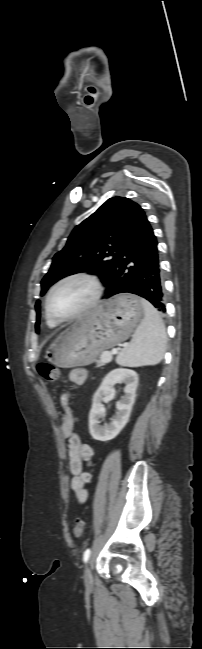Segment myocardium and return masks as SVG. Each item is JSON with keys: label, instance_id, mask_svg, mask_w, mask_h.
Returning a JSON list of instances; mask_svg holds the SVG:
<instances>
[{"label": "myocardium", "instance_id": "f54148a6", "mask_svg": "<svg viewBox=\"0 0 202 649\" xmlns=\"http://www.w3.org/2000/svg\"><path fill=\"white\" fill-rule=\"evenodd\" d=\"M73 279H83L90 283V285L93 288V295L89 302L84 305L80 310H78L76 313L72 314L71 316L65 317V318H60L56 315L53 314V312L50 309L49 302L50 299L53 295V293L56 291V289L62 285L63 283L73 280ZM103 283L100 280V278L88 271H75L72 273H69L60 279H58L49 289L46 297H45V313L46 315L56 324L60 323H65V322H70L73 320L78 319L79 317L83 316L84 314L88 313L90 310H92L100 301L102 294H103Z\"/></svg>", "mask_w": 202, "mask_h": 649}]
</instances>
